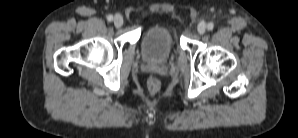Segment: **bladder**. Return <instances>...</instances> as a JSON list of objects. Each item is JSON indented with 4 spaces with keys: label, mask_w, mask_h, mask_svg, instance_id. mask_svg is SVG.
I'll list each match as a JSON object with an SVG mask.
<instances>
[{
    "label": "bladder",
    "mask_w": 298,
    "mask_h": 138,
    "mask_svg": "<svg viewBox=\"0 0 298 138\" xmlns=\"http://www.w3.org/2000/svg\"><path fill=\"white\" fill-rule=\"evenodd\" d=\"M175 47V31L165 22L150 24L141 38V51L149 62H164L170 57Z\"/></svg>",
    "instance_id": "1"
}]
</instances>
